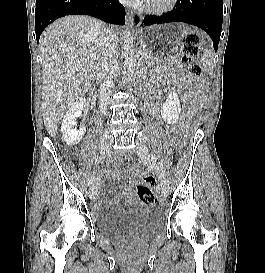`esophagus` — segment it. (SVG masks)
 I'll list each match as a JSON object with an SVG mask.
<instances>
[{"instance_id": "obj_1", "label": "esophagus", "mask_w": 265, "mask_h": 273, "mask_svg": "<svg viewBox=\"0 0 265 273\" xmlns=\"http://www.w3.org/2000/svg\"><path fill=\"white\" fill-rule=\"evenodd\" d=\"M128 21L131 25H139L142 21V16H135L133 11L127 13Z\"/></svg>"}]
</instances>
